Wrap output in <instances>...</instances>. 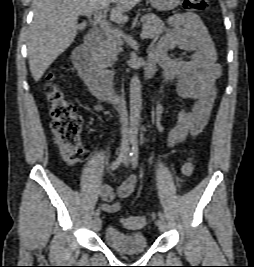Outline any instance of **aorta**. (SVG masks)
<instances>
[{"label":"aorta","mask_w":254,"mask_h":267,"mask_svg":"<svg viewBox=\"0 0 254 267\" xmlns=\"http://www.w3.org/2000/svg\"><path fill=\"white\" fill-rule=\"evenodd\" d=\"M142 106L141 82L137 75H134L130 82V126L128 136L135 141L140 125V113Z\"/></svg>","instance_id":"obj_1"}]
</instances>
